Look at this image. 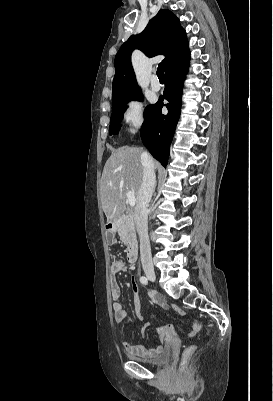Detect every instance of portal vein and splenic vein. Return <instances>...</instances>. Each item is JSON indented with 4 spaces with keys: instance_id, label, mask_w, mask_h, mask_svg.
Masks as SVG:
<instances>
[{
    "instance_id": "obj_1",
    "label": "portal vein and splenic vein",
    "mask_w": 273,
    "mask_h": 401,
    "mask_svg": "<svg viewBox=\"0 0 273 401\" xmlns=\"http://www.w3.org/2000/svg\"><path fill=\"white\" fill-rule=\"evenodd\" d=\"M127 198H128L130 207H135L136 198H135V194H134L133 190H128Z\"/></svg>"
}]
</instances>
